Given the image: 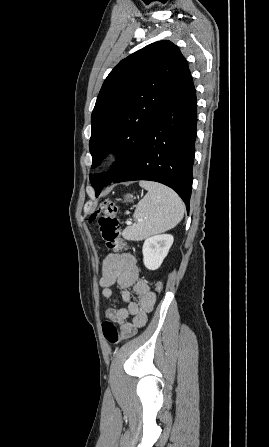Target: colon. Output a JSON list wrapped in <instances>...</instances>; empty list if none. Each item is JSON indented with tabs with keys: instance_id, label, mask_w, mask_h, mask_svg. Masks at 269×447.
I'll return each mask as SVG.
<instances>
[{
	"instance_id": "colon-1",
	"label": "colon",
	"mask_w": 269,
	"mask_h": 447,
	"mask_svg": "<svg viewBox=\"0 0 269 447\" xmlns=\"http://www.w3.org/2000/svg\"><path fill=\"white\" fill-rule=\"evenodd\" d=\"M116 214L117 207L113 202L110 200L102 201L90 215V221L97 224L101 240L109 249L123 253L126 252L128 248L121 240H119V221ZM162 289L163 283L157 281L154 286L155 295H160ZM102 331L105 338L113 344L120 343L127 339L126 334H121L118 327L109 321L103 322ZM136 333L139 335L141 332L138 330Z\"/></svg>"
}]
</instances>
